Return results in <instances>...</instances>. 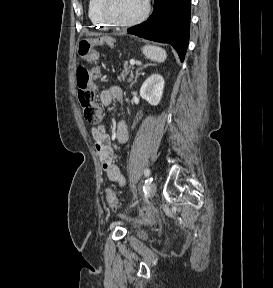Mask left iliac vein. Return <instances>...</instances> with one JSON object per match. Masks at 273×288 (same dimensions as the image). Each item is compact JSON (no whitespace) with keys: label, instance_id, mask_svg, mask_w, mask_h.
<instances>
[{"label":"left iliac vein","instance_id":"1","mask_svg":"<svg viewBox=\"0 0 273 288\" xmlns=\"http://www.w3.org/2000/svg\"><path fill=\"white\" fill-rule=\"evenodd\" d=\"M156 191H157L156 183H151L148 189V193L145 196V202L150 200L155 195Z\"/></svg>","mask_w":273,"mask_h":288}]
</instances>
